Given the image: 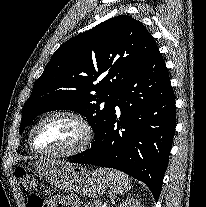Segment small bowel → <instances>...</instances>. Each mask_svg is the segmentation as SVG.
<instances>
[{
    "label": "small bowel",
    "instance_id": "small-bowel-1",
    "mask_svg": "<svg viewBox=\"0 0 206 207\" xmlns=\"http://www.w3.org/2000/svg\"><path fill=\"white\" fill-rule=\"evenodd\" d=\"M58 205L80 207L78 199L72 196H55L49 200V207H57Z\"/></svg>",
    "mask_w": 206,
    "mask_h": 207
}]
</instances>
